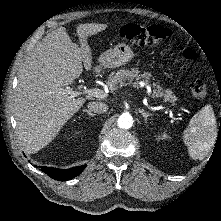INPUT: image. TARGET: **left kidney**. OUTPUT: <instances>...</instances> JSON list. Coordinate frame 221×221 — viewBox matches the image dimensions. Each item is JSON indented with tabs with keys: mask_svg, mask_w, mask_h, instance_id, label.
Masks as SVG:
<instances>
[{
	"mask_svg": "<svg viewBox=\"0 0 221 221\" xmlns=\"http://www.w3.org/2000/svg\"><path fill=\"white\" fill-rule=\"evenodd\" d=\"M162 137H163V138H168L167 133H166V132H164V133L162 134Z\"/></svg>",
	"mask_w": 221,
	"mask_h": 221,
	"instance_id": "obj_1",
	"label": "left kidney"
}]
</instances>
